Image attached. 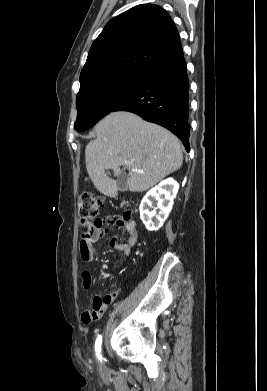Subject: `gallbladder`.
I'll list each match as a JSON object with an SVG mask.
<instances>
[{
  "mask_svg": "<svg viewBox=\"0 0 267 391\" xmlns=\"http://www.w3.org/2000/svg\"><path fill=\"white\" fill-rule=\"evenodd\" d=\"M117 188L121 192L127 191L128 185H127V178L124 174H121L117 180Z\"/></svg>",
  "mask_w": 267,
  "mask_h": 391,
  "instance_id": "bac80fb5",
  "label": "gallbladder"
}]
</instances>
